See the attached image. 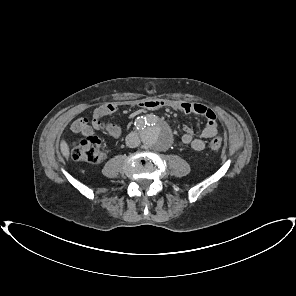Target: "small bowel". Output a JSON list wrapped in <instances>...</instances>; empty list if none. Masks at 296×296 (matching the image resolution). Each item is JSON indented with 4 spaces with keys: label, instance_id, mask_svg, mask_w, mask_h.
I'll use <instances>...</instances> for the list:
<instances>
[{
    "label": "small bowel",
    "instance_id": "1",
    "mask_svg": "<svg viewBox=\"0 0 296 296\" xmlns=\"http://www.w3.org/2000/svg\"><path fill=\"white\" fill-rule=\"evenodd\" d=\"M139 107L145 110H155L163 107L185 112L194 113L205 117L206 124L203 127L200 137L194 138L192 130L185 127L184 134L181 136L179 144L181 146H189L194 151H202L206 147V139L214 137L218 132V125L215 112L199 103H191L177 100H146L140 102ZM118 105L115 102L104 103L93 111L92 119L79 118L75 120L71 129L75 133L82 135H91L94 130H100L107 133L113 138H119L122 134V129L119 125L103 120L105 116L111 115L117 111Z\"/></svg>",
    "mask_w": 296,
    "mask_h": 296
}]
</instances>
